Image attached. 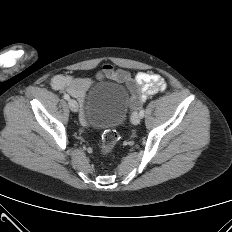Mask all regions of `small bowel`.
<instances>
[{"instance_id":"obj_1","label":"small bowel","mask_w":232,"mask_h":232,"mask_svg":"<svg viewBox=\"0 0 232 232\" xmlns=\"http://www.w3.org/2000/svg\"><path fill=\"white\" fill-rule=\"evenodd\" d=\"M97 79H111L125 83L132 95L131 106L133 110L140 107L148 97L165 90L164 79L155 73L141 72L132 77L128 72L115 69L110 64H105L98 71ZM93 81L88 78H76L71 75H57L52 79V86L56 90H66L74 97L82 101L86 91L92 86Z\"/></svg>"}]
</instances>
